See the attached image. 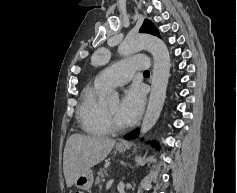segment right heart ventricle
Returning a JSON list of instances; mask_svg holds the SVG:
<instances>
[{"label":"right heart ventricle","instance_id":"e07e8e85","mask_svg":"<svg viewBox=\"0 0 237 193\" xmlns=\"http://www.w3.org/2000/svg\"><path fill=\"white\" fill-rule=\"evenodd\" d=\"M107 87L94 81L85 86L81 93L77 117L84 132L94 135H107L110 130L103 119V95Z\"/></svg>","mask_w":237,"mask_h":193}]
</instances>
